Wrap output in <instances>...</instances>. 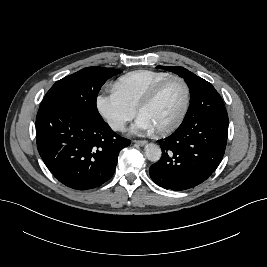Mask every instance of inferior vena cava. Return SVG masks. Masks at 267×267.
<instances>
[{
    "label": "inferior vena cava",
    "mask_w": 267,
    "mask_h": 267,
    "mask_svg": "<svg viewBox=\"0 0 267 267\" xmlns=\"http://www.w3.org/2000/svg\"><path fill=\"white\" fill-rule=\"evenodd\" d=\"M115 129L122 130L124 128V122L122 121H117L114 125Z\"/></svg>",
    "instance_id": "inferior-vena-cava-1"
}]
</instances>
